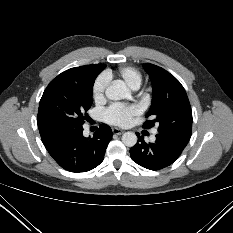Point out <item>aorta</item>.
<instances>
[{
  "label": "aorta",
  "mask_w": 233,
  "mask_h": 233,
  "mask_svg": "<svg viewBox=\"0 0 233 233\" xmlns=\"http://www.w3.org/2000/svg\"><path fill=\"white\" fill-rule=\"evenodd\" d=\"M106 97L110 100L130 99L131 93L123 81H113L105 91ZM122 142L127 147H133L137 143V136L134 132H125L122 135Z\"/></svg>",
  "instance_id": "762f6f07"
}]
</instances>
